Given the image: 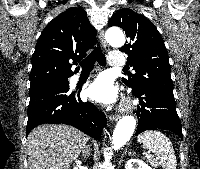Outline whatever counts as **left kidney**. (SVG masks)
Masks as SVG:
<instances>
[{
	"mask_svg": "<svg viewBox=\"0 0 200 169\" xmlns=\"http://www.w3.org/2000/svg\"><path fill=\"white\" fill-rule=\"evenodd\" d=\"M125 169H152V168L142 160L130 159L126 162Z\"/></svg>",
	"mask_w": 200,
	"mask_h": 169,
	"instance_id": "left-kidney-1",
	"label": "left kidney"
}]
</instances>
